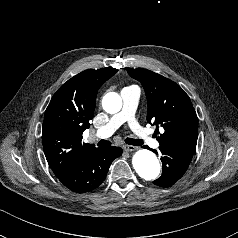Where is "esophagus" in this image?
Instances as JSON below:
<instances>
[{"mask_svg":"<svg viewBox=\"0 0 238 238\" xmlns=\"http://www.w3.org/2000/svg\"><path fill=\"white\" fill-rule=\"evenodd\" d=\"M123 149L127 152H132V151H135L137 150V147L136 146H132V145H124L123 146Z\"/></svg>","mask_w":238,"mask_h":238,"instance_id":"esophagus-1","label":"esophagus"}]
</instances>
